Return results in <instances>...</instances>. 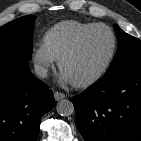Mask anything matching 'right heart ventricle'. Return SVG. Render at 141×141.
Masks as SVG:
<instances>
[{
	"label": "right heart ventricle",
	"instance_id": "1",
	"mask_svg": "<svg viewBox=\"0 0 141 141\" xmlns=\"http://www.w3.org/2000/svg\"><path fill=\"white\" fill-rule=\"evenodd\" d=\"M96 23L65 20L50 27L41 39V45L55 59L61 55L73 43L76 37L88 27Z\"/></svg>",
	"mask_w": 141,
	"mask_h": 141
}]
</instances>
